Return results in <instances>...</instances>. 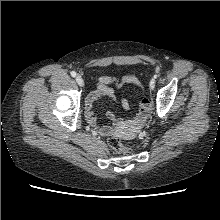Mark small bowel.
<instances>
[{"label": "small bowel", "instance_id": "small-bowel-1", "mask_svg": "<svg viewBox=\"0 0 220 220\" xmlns=\"http://www.w3.org/2000/svg\"><path fill=\"white\" fill-rule=\"evenodd\" d=\"M125 84L132 85L139 95H143V86L141 82L139 81V79L135 75L127 74L119 79L109 77V76L100 77L98 80L96 91L89 94L85 99L84 114H85L86 121L88 122L89 125L96 128L101 134H107L109 131V128L98 122L97 116L95 115L92 109L93 102L102 96H107L111 99H115L112 87L120 88ZM145 99L146 98H142L141 100L139 114H143L142 113V102ZM118 103L120 107L123 109L129 108V102L125 98L120 99ZM108 116L110 119L114 118V115L112 113H109Z\"/></svg>", "mask_w": 220, "mask_h": 220}]
</instances>
